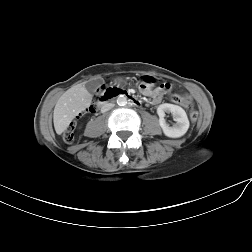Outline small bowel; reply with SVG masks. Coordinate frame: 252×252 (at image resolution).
<instances>
[{"mask_svg": "<svg viewBox=\"0 0 252 252\" xmlns=\"http://www.w3.org/2000/svg\"><path fill=\"white\" fill-rule=\"evenodd\" d=\"M170 89H171L170 84H164L156 90H152L149 87H143V86L141 87V90L144 92V94L151 97L153 104H158L162 99L163 93L169 92Z\"/></svg>", "mask_w": 252, "mask_h": 252, "instance_id": "small-bowel-1", "label": "small bowel"}]
</instances>
